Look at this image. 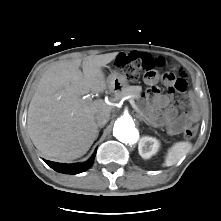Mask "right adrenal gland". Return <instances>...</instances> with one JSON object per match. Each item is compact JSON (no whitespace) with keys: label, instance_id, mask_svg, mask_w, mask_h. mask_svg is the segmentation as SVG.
Masks as SVG:
<instances>
[{"label":"right adrenal gland","instance_id":"2a0ac1e0","mask_svg":"<svg viewBox=\"0 0 221 221\" xmlns=\"http://www.w3.org/2000/svg\"><path fill=\"white\" fill-rule=\"evenodd\" d=\"M99 131H100V130L97 131L96 139H97V137H98Z\"/></svg>","mask_w":221,"mask_h":221}]
</instances>
